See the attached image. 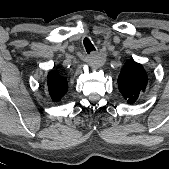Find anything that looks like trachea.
Returning a JSON list of instances; mask_svg holds the SVG:
<instances>
[{
    "label": "trachea",
    "instance_id": "obj_1",
    "mask_svg": "<svg viewBox=\"0 0 169 169\" xmlns=\"http://www.w3.org/2000/svg\"><path fill=\"white\" fill-rule=\"evenodd\" d=\"M84 47L88 54L95 50V47L93 46L91 40L87 37L84 39Z\"/></svg>",
    "mask_w": 169,
    "mask_h": 169
}]
</instances>
